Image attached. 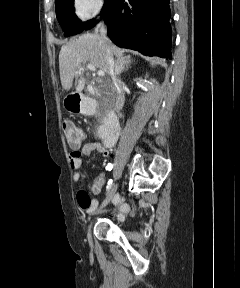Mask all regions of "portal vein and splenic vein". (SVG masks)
Returning a JSON list of instances; mask_svg holds the SVG:
<instances>
[{"instance_id": "18ae733b", "label": "portal vein and splenic vein", "mask_w": 240, "mask_h": 288, "mask_svg": "<svg viewBox=\"0 0 240 288\" xmlns=\"http://www.w3.org/2000/svg\"><path fill=\"white\" fill-rule=\"evenodd\" d=\"M86 68L89 69L90 71H96V67L94 65L90 64V63H88L86 65ZM82 70H83L82 67L78 68L76 70V74H80ZM97 74H98L99 77H103L105 75V73L103 71H98Z\"/></svg>"}]
</instances>
